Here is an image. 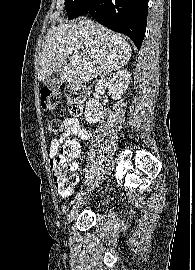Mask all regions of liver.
Here are the masks:
<instances>
[{"label":"liver","instance_id":"obj_1","mask_svg":"<svg viewBox=\"0 0 195 270\" xmlns=\"http://www.w3.org/2000/svg\"><path fill=\"white\" fill-rule=\"evenodd\" d=\"M130 57L131 47L122 36L91 19L82 18L78 22L62 23L48 33L40 57L38 80L45 81L64 64L63 83L87 82L103 73L119 70Z\"/></svg>","mask_w":195,"mask_h":270}]
</instances>
